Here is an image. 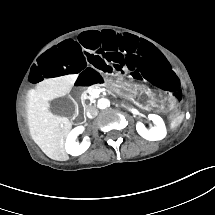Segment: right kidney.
<instances>
[{
    "instance_id": "ca27d5eb",
    "label": "right kidney",
    "mask_w": 215,
    "mask_h": 215,
    "mask_svg": "<svg viewBox=\"0 0 215 215\" xmlns=\"http://www.w3.org/2000/svg\"><path fill=\"white\" fill-rule=\"evenodd\" d=\"M76 128H79L77 131L74 129L69 133L65 143L66 152L72 156H78L84 153L90 146V138L85 137L81 144H78L75 140L77 139L78 135L81 134L85 127L80 125Z\"/></svg>"
}]
</instances>
